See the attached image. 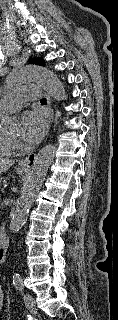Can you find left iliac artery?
Here are the masks:
<instances>
[{"mask_svg": "<svg viewBox=\"0 0 118 320\" xmlns=\"http://www.w3.org/2000/svg\"><path fill=\"white\" fill-rule=\"evenodd\" d=\"M13 284L15 285V287L17 288V290H19V291L22 292V290H23V288H24L22 279H15V280H13Z\"/></svg>", "mask_w": 118, "mask_h": 320, "instance_id": "left-iliac-artery-1", "label": "left iliac artery"}]
</instances>
